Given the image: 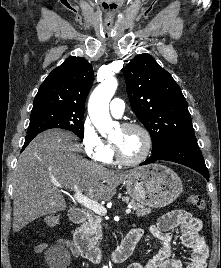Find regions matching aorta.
<instances>
[{
	"instance_id": "1",
	"label": "aorta",
	"mask_w": 221,
	"mask_h": 268,
	"mask_svg": "<svg viewBox=\"0 0 221 268\" xmlns=\"http://www.w3.org/2000/svg\"><path fill=\"white\" fill-rule=\"evenodd\" d=\"M118 86L114 77L106 78L92 92L88 102V113L100 134L106 137L116 127L109 114V102Z\"/></svg>"
}]
</instances>
